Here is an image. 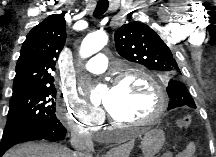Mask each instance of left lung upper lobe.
<instances>
[{"label": "left lung upper lobe", "mask_w": 216, "mask_h": 157, "mask_svg": "<svg viewBox=\"0 0 216 157\" xmlns=\"http://www.w3.org/2000/svg\"><path fill=\"white\" fill-rule=\"evenodd\" d=\"M114 39L117 52L126 60L173 77L167 87L169 104L178 102L196 108L187 88L178 80L180 64L172 56L174 49H170L153 29L144 23L128 22L116 29Z\"/></svg>", "instance_id": "left-lung-upper-lobe-1"}]
</instances>
